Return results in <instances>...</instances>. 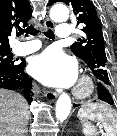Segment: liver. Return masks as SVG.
<instances>
[{
	"instance_id": "1",
	"label": "liver",
	"mask_w": 117,
	"mask_h": 136,
	"mask_svg": "<svg viewBox=\"0 0 117 136\" xmlns=\"http://www.w3.org/2000/svg\"><path fill=\"white\" fill-rule=\"evenodd\" d=\"M29 105L20 94L0 89V136H24Z\"/></svg>"
}]
</instances>
